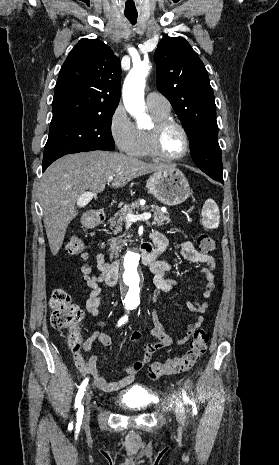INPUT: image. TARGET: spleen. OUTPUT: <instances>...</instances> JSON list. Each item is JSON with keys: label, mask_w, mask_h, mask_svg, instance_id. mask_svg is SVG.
Here are the masks:
<instances>
[{"label": "spleen", "mask_w": 279, "mask_h": 465, "mask_svg": "<svg viewBox=\"0 0 279 465\" xmlns=\"http://www.w3.org/2000/svg\"><path fill=\"white\" fill-rule=\"evenodd\" d=\"M202 224L207 229H215L219 226L220 212L213 199L206 200L202 208Z\"/></svg>", "instance_id": "1"}]
</instances>
